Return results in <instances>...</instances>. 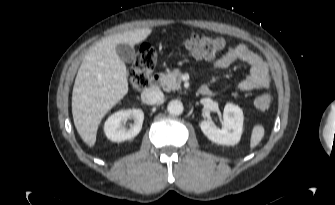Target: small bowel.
<instances>
[{
	"label": "small bowel",
	"mask_w": 335,
	"mask_h": 205,
	"mask_svg": "<svg viewBox=\"0 0 335 205\" xmlns=\"http://www.w3.org/2000/svg\"><path fill=\"white\" fill-rule=\"evenodd\" d=\"M238 60L244 61L250 66V73L238 84L240 91L269 87L270 80L264 61L244 44L230 47L222 57L213 62V66L217 69H226Z\"/></svg>",
	"instance_id": "c3829d8e"
}]
</instances>
